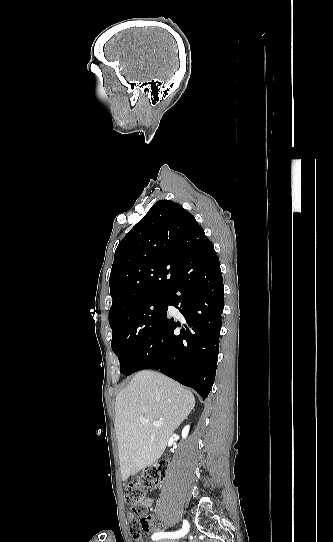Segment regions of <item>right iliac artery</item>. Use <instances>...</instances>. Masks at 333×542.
Masks as SVG:
<instances>
[{
  "instance_id": "82829eb1",
  "label": "right iliac artery",
  "mask_w": 333,
  "mask_h": 542,
  "mask_svg": "<svg viewBox=\"0 0 333 542\" xmlns=\"http://www.w3.org/2000/svg\"><path fill=\"white\" fill-rule=\"evenodd\" d=\"M189 531V523L187 521H183V528L179 531H176V532H158V533H155L153 536H152V539L153 540H157V539H160V538H171V539H176V538H180L182 536H184L185 534H187Z\"/></svg>"
}]
</instances>
